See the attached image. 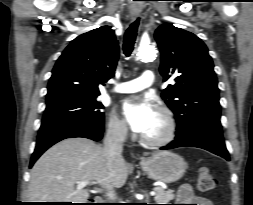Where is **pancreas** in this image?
Listing matches in <instances>:
<instances>
[{
  "mask_svg": "<svg viewBox=\"0 0 253 205\" xmlns=\"http://www.w3.org/2000/svg\"><path fill=\"white\" fill-rule=\"evenodd\" d=\"M156 192L154 200L158 204H167L169 201L173 200L174 194L172 190H165L161 186H157L154 188Z\"/></svg>",
  "mask_w": 253,
  "mask_h": 205,
  "instance_id": "pancreas-1",
  "label": "pancreas"
}]
</instances>
